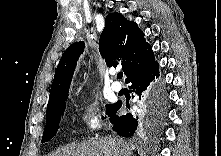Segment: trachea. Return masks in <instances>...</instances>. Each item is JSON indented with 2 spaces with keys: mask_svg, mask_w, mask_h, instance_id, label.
<instances>
[{
  "mask_svg": "<svg viewBox=\"0 0 221 156\" xmlns=\"http://www.w3.org/2000/svg\"><path fill=\"white\" fill-rule=\"evenodd\" d=\"M123 77V73L122 72H119L118 74H117V78L118 79H121Z\"/></svg>",
  "mask_w": 221,
  "mask_h": 156,
  "instance_id": "trachea-1",
  "label": "trachea"
}]
</instances>
